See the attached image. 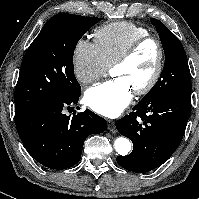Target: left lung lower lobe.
I'll return each mask as SVG.
<instances>
[{"label": "left lung lower lobe", "mask_w": 199, "mask_h": 199, "mask_svg": "<svg viewBox=\"0 0 199 199\" xmlns=\"http://www.w3.org/2000/svg\"><path fill=\"white\" fill-rule=\"evenodd\" d=\"M132 110L116 121V128L132 141L133 151L116 160L126 170L144 173L162 165L180 145L191 113V95L138 103Z\"/></svg>", "instance_id": "obj_1"}]
</instances>
